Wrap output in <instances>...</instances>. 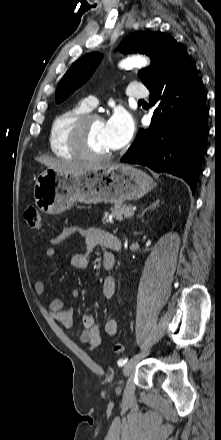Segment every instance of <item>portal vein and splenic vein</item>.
<instances>
[{
	"label": "portal vein and splenic vein",
	"instance_id": "18ae733b",
	"mask_svg": "<svg viewBox=\"0 0 221 440\" xmlns=\"http://www.w3.org/2000/svg\"><path fill=\"white\" fill-rule=\"evenodd\" d=\"M135 211H136V208L133 207V208L131 209V211H129V212L125 215V217L128 218V217L133 216Z\"/></svg>",
	"mask_w": 221,
	"mask_h": 440
}]
</instances>
